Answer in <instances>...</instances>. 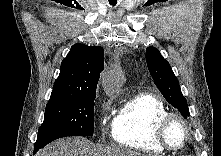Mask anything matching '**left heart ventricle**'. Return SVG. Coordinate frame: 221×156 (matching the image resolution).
<instances>
[{
	"label": "left heart ventricle",
	"mask_w": 221,
	"mask_h": 156,
	"mask_svg": "<svg viewBox=\"0 0 221 156\" xmlns=\"http://www.w3.org/2000/svg\"><path fill=\"white\" fill-rule=\"evenodd\" d=\"M166 138L168 143L173 147H179L182 145L185 138V131L179 120L173 119L170 121L166 130Z\"/></svg>",
	"instance_id": "b2bd125f"
}]
</instances>
